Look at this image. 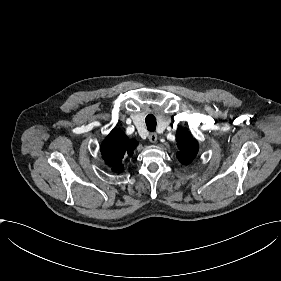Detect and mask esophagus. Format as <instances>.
I'll list each match as a JSON object with an SVG mask.
<instances>
[{
	"label": "esophagus",
	"instance_id": "34e87169",
	"mask_svg": "<svg viewBox=\"0 0 281 281\" xmlns=\"http://www.w3.org/2000/svg\"><path fill=\"white\" fill-rule=\"evenodd\" d=\"M148 139L151 143H156L157 141V134L155 132L150 133Z\"/></svg>",
	"mask_w": 281,
	"mask_h": 281
}]
</instances>
